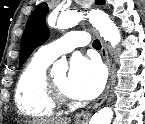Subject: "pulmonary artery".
<instances>
[{
    "label": "pulmonary artery",
    "instance_id": "obj_1",
    "mask_svg": "<svg viewBox=\"0 0 145 124\" xmlns=\"http://www.w3.org/2000/svg\"><path fill=\"white\" fill-rule=\"evenodd\" d=\"M88 44V38L83 31H74L66 34L60 39L42 46L37 54L49 61L55 60L58 56L71 52L72 50Z\"/></svg>",
    "mask_w": 145,
    "mask_h": 124
}]
</instances>
